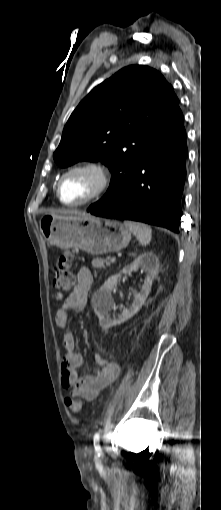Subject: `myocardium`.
Returning <instances> with one entry per match:
<instances>
[{"label": "myocardium", "mask_w": 221, "mask_h": 510, "mask_svg": "<svg viewBox=\"0 0 221 510\" xmlns=\"http://www.w3.org/2000/svg\"><path fill=\"white\" fill-rule=\"evenodd\" d=\"M77 172H88L93 174L96 179L95 187L85 199L69 203L64 201L62 198V184L68 176ZM111 180V172L104 163L98 160L83 161L72 165L62 174L57 184V197L59 201L67 207L84 206L101 198L108 191L111 185Z\"/></svg>", "instance_id": "f54148a6"}]
</instances>
